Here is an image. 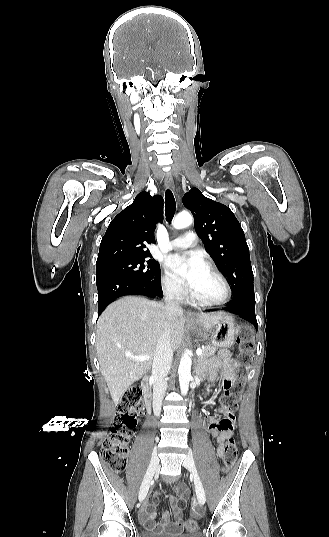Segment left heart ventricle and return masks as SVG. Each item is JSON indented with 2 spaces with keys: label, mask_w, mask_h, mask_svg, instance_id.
<instances>
[{
  "label": "left heart ventricle",
  "mask_w": 329,
  "mask_h": 537,
  "mask_svg": "<svg viewBox=\"0 0 329 537\" xmlns=\"http://www.w3.org/2000/svg\"><path fill=\"white\" fill-rule=\"evenodd\" d=\"M193 294L205 300H218L224 295V288L219 279L207 268L201 275Z\"/></svg>",
  "instance_id": "left-heart-ventricle-1"
}]
</instances>
